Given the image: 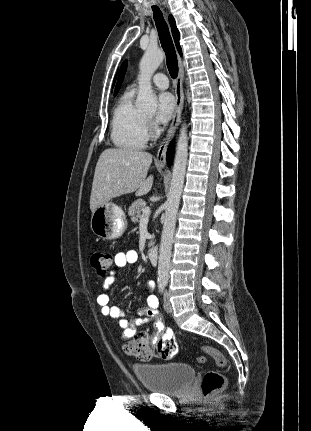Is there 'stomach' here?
Here are the masks:
<instances>
[{"label": "stomach", "mask_w": 311, "mask_h": 431, "mask_svg": "<svg viewBox=\"0 0 311 431\" xmlns=\"http://www.w3.org/2000/svg\"><path fill=\"white\" fill-rule=\"evenodd\" d=\"M90 227L101 239H117L123 235L127 219L120 206L113 202H104L100 208L92 212Z\"/></svg>", "instance_id": "1"}]
</instances>
